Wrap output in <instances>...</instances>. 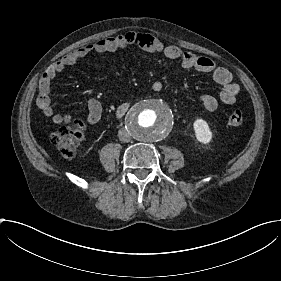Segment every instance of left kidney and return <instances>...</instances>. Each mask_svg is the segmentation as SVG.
Masks as SVG:
<instances>
[{
	"mask_svg": "<svg viewBox=\"0 0 281 281\" xmlns=\"http://www.w3.org/2000/svg\"><path fill=\"white\" fill-rule=\"evenodd\" d=\"M194 136L200 144H210L213 139V132L208 122L202 118H197L193 122Z\"/></svg>",
	"mask_w": 281,
	"mask_h": 281,
	"instance_id": "left-kidney-1",
	"label": "left kidney"
}]
</instances>
